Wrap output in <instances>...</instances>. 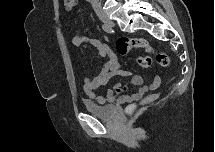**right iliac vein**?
I'll return each mask as SVG.
<instances>
[{"label": "right iliac vein", "mask_w": 215, "mask_h": 152, "mask_svg": "<svg viewBox=\"0 0 215 152\" xmlns=\"http://www.w3.org/2000/svg\"><path fill=\"white\" fill-rule=\"evenodd\" d=\"M99 18H100V20H101L104 24H106V25H108V26H114L113 21H112L107 15H105V14H100V15H99Z\"/></svg>", "instance_id": "63e3f726"}]
</instances>
